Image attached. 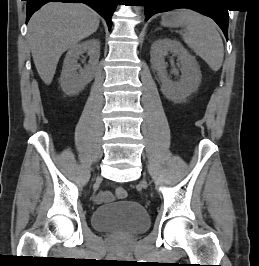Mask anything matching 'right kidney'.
<instances>
[{"mask_svg": "<svg viewBox=\"0 0 259 266\" xmlns=\"http://www.w3.org/2000/svg\"><path fill=\"white\" fill-rule=\"evenodd\" d=\"M87 53L88 64L82 69L78 64L81 55ZM100 57V41L92 38L71 47L64 59L60 84L64 93L75 95L92 81Z\"/></svg>", "mask_w": 259, "mask_h": 266, "instance_id": "obj_1", "label": "right kidney"}]
</instances>
